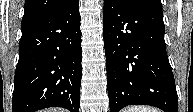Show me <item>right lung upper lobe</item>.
<instances>
[{
    "instance_id": "cb5924a9",
    "label": "right lung upper lobe",
    "mask_w": 193,
    "mask_h": 112,
    "mask_svg": "<svg viewBox=\"0 0 193 112\" xmlns=\"http://www.w3.org/2000/svg\"><path fill=\"white\" fill-rule=\"evenodd\" d=\"M68 1L69 0H25L22 25L55 11Z\"/></svg>"
}]
</instances>
